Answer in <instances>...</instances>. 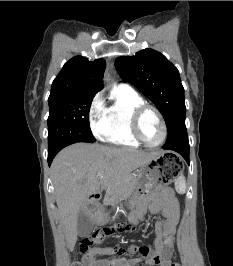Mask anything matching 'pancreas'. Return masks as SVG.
<instances>
[{
  "label": "pancreas",
  "mask_w": 233,
  "mask_h": 266,
  "mask_svg": "<svg viewBox=\"0 0 233 266\" xmlns=\"http://www.w3.org/2000/svg\"><path fill=\"white\" fill-rule=\"evenodd\" d=\"M138 186L136 175H129L119 185L112 187L104 197L105 205H116L121 200L127 198Z\"/></svg>",
  "instance_id": "cf45deb5"
}]
</instances>
